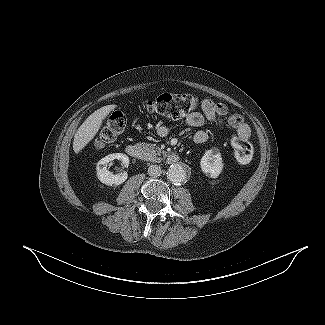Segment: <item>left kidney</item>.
Returning <instances> with one entry per match:
<instances>
[{
    "mask_svg": "<svg viewBox=\"0 0 325 325\" xmlns=\"http://www.w3.org/2000/svg\"><path fill=\"white\" fill-rule=\"evenodd\" d=\"M201 170L211 178H217L224 167L221 153L217 148L207 150L200 161Z\"/></svg>",
    "mask_w": 325,
    "mask_h": 325,
    "instance_id": "1",
    "label": "left kidney"
}]
</instances>
